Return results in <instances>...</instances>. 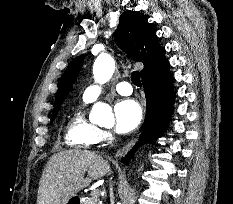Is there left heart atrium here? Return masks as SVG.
I'll return each instance as SVG.
<instances>
[{
  "label": "left heart atrium",
  "mask_w": 233,
  "mask_h": 204,
  "mask_svg": "<svg viewBox=\"0 0 233 204\" xmlns=\"http://www.w3.org/2000/svg\"><path fill=\"white\" fill-rule=\"evenodd\" d=\"M115 127L118 133H129L141 122L142 108L133 99L120 100L114 107Z\"/></svg>",
  "instance_id": "left-heart-atrium-1"
}]
</instances>
